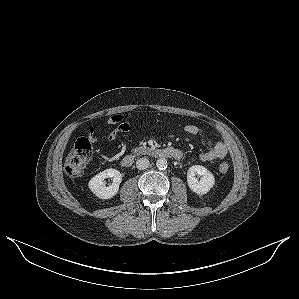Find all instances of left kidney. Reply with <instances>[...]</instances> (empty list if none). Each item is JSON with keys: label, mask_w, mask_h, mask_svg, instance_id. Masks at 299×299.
I'll use <instances>...</instances> for the list:
<instances>
[{"label": "left kidney", "mask_w": 299, "mask_h": 299, "mask_svg": "<svg viewBox=\"0 0 299 299\" xmlns=\"http://www.w3.org/2000/svg\"><path fill=\"white\" fill-rule=\"evenodd\" d=\"M200 175L198 180L196 175ZM187 182L189 188L198 195H204L214 186V175L205 167L200 165L191 166L187 171Z\"/></svg>", "instance_id": "left-kidney-1"}]
</instances>
